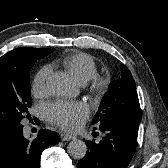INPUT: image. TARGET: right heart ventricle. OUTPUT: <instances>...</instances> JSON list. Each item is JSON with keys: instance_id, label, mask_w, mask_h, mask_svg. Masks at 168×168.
I'll return each instance as SVG.
<instances>
[{"instance_id": "1", "label": "right heart ventricle", "mask_w": 168, "mask_h": 168, "mask_svg": "<svg viewBox=\"0 0 168 168\" xmlns=\"http://www.w3.org/2000/svg\"><path fill=\"white\" fill-rule=\"evenodd\" d=\"M63 67L82 84L87 83L97 74V65L94 58L83 52L66 55L62 60Z\"/></svg>"}]
</instances>
